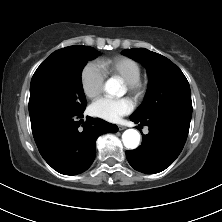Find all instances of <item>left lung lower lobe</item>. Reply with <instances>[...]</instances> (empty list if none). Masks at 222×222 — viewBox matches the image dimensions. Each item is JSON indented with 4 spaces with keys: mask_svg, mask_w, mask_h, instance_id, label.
Instances as JSON below:
<instances>
[{
    "mask_svg": "<svg viewBox=\"0 0 222 222\" xmlns=\"http://www.w3.org/2000/svg\"><path fill=\"white\" fill-rule=\"evenodd\" d=\"M131 121L149 127L142 134V144L126 151L127 160L137 171L153 174L170 166L186 142L190 120L177 111H167L150 117L131 116Z\"/></svg>",
    "mask_w": 222,
    "mask_h": 222,
    "instance_id": "1",
    "label": "left lung lower lobe"
}]
</instances>
